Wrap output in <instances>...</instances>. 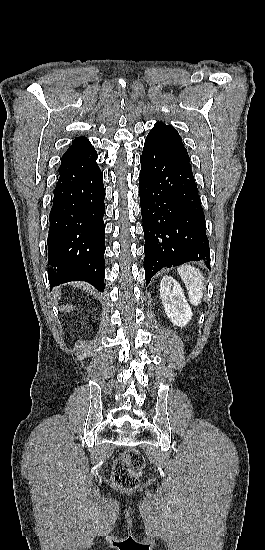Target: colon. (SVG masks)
Returning a JSON list of instances; mask_svg holds the SVG:
<instances>
[{
    "label": "colon",
    "mask_w": 265,
    "mask_h": 550,
    "mask_svg": "<svg viewBox=\"0 0 265 550\" xmlns=\"http://www.w3.org/2000/svg\"><path fill=\"white\" fill-rule=\"evenodd\" d=\"M145 467L143 455L136 449H127L112 466V481L115 486L131 489L137 486Z\"/></svg>",
    "instance_id": "colon-1"
}]
</instances>
